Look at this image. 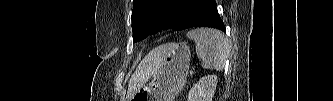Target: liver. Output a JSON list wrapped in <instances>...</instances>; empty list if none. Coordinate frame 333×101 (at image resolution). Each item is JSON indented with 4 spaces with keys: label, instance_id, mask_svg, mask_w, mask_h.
<instances>
[{
    "label": "liver",
    "instance_id": "6515ba94",
    "mask_svg": "<svg viewBox=\"0 0 333 101\" xmlns=\"http://www.w3.org/2000/svg\"><path fill=\"white\" fill-rule=\"evenodd\" d=\"M164 45L151 51L139 64L129 83L128 98L133 96L157 71Z\"/></svg>",
    "mask_w": 333,
    "mask_h": 101
}]
</instances>
